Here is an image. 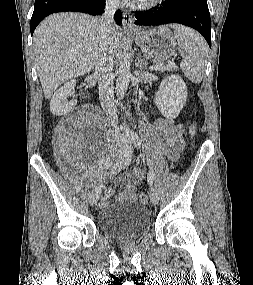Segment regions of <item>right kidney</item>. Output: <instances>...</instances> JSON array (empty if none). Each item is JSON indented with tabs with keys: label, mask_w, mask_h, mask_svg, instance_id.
Listing matches in <instances>:
<instances>
[{
	"label": "right kidney",
	"mask_w": 253,
	"mask_h": 285,
	"mask_svg": "<svg viewBox=\"0 0 253 285\" xmlns=\"http://www.w3.org/2000/svg\"><path fill=\"white\" fill-rule=\"evenodd\" d=\"M76 80L72 79L71 81L66 82L60 89H58L50 102V110L52 114L57 116H62L70 112L73 107L77 104V100H72L70 102H63L64 98L67 95H70L74 92Z\"/></svg>",
	"instance_id": "ca27d5eb"
}]
</instances>
